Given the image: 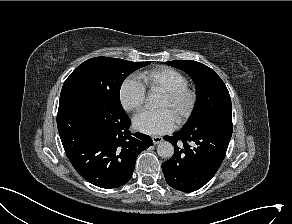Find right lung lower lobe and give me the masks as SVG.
Instances as JSON below:
<instances>
[{"instance_id": "right-lung-lower-lobe-1", "label": "right lung lower lobe", "mask_w": 292, "mask_h": 224, "mask_svg": "<svg viewBox=\"0 0 292 224\" xmlns=\"http://www.w3.org/2000/svg\"><path fill=\"white\" fill-rule=\"evenodd\" d=\"M125 112H112L80 97L60 99L59 135L75 170L88 182L110 189L126 184L140 152L153 145L150 136L131 133Z\"/></svg>"}]
</instances>
